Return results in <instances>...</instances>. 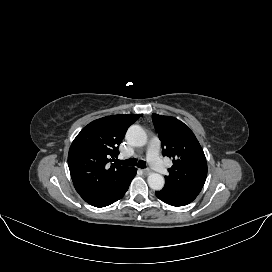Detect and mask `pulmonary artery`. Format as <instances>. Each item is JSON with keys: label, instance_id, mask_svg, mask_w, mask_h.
<instances>
[{"label": "pulmonary artery", "instance_id": "1", "mask_svg": "<svg viewBox=\"0 0 272 272\" xmlns=\"http://www.w3.org/2000/svg\"><path fill=\"white\" fill-rule=\"evenodd\" d=\"M147 158L151 167L158 173L166 174L168 168L163 163L160 157V141L156 137L149 140L147 147Z\"/></svg>", "mask_w": 272, "mask_h": 272}]
</instances>
